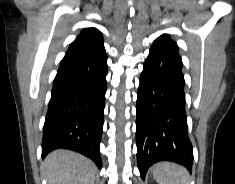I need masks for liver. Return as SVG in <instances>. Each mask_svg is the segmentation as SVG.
I'll return each mask as SVG.
<instances>
[{
    "instance_id": "6515ba94",
    "label": "liver",
    "mask_w": 235,
    "mask_h": 184,
    "mask_svg": "<svg viewBox=\"0 0 235 184\" xmlns=\"http://www.w3.org/2000/svg\"><path fill=\"white\" fill-rule=\"evenodd\" d=\"M96 170L91 160L76 152L55 150L45 158L41 178L47 184H94Z\"/></svg>"
}]
</instances>
